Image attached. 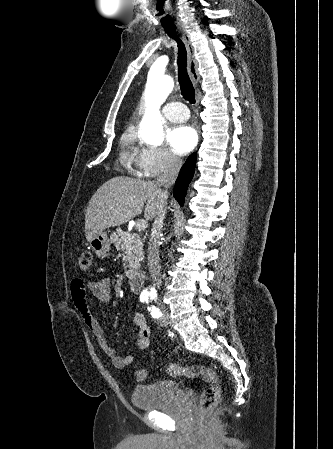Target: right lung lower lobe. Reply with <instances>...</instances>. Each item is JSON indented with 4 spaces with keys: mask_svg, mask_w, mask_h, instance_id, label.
<instances>
[{
    "mask_svg": "<svg viewBox=\"0 0 333 449\" xmlns=\"http://www.w3.org/2000/svg\"><path fill=\"white\" fill-rule=\"evenodd\" d=\"M196 157L195 153L188 157L177 178L174 187V197L180 205L184 204L185 194L195 171Z\"/></svg>",
    "mask_w": 333,
    "mask_h": 449,
    "instance_id": "1",
    "label": "right lung lower lobe"
}]
</instances>
